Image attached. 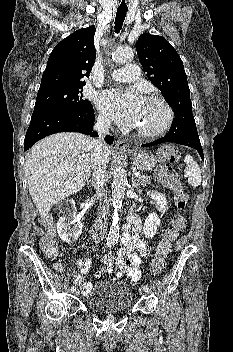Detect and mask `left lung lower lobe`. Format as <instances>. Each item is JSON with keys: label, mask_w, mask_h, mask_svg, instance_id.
<instances>
[{"label": "left lung lower lobe", "mask_w": 233, "mask_h": 352, "mask_svg": "<svg viewBox=\"0 0 233 352\" xmlns=\"http://www.w3.org/2000/svg\"><path fill=\"white\" fill-rule=\"evenodd\" d=\"M165 142H171V143H176V144L192 147L198 151L202 160H204V154H203V150L201 147L198 132H190V133L181 134V135H178V134H175L172 132H168L164 137H162L158 140H155L151 143L142 145V147L154 146V145L165 143Z\"/></svg>", "instance_id": "1"}]
</instances>
